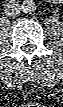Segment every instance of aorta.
Instances as JSON below:
<instances>
[{
  "label": "aorta",
  "mask_w": 63,
  "mask_h": 107,
  "mask_svg": "<svg viewBox=\"0 0 63 107\" xmlns=\"http://www.w3.org/2000/svg\"><path fill=\"white\" fill-rule=\"evenodd\" d=\"M22 11L26 14H31L35 12L37 6L34 0H25L22 3Z\"/></svg>",
  "instance_id": "762f6f07"
}]
</instances>
